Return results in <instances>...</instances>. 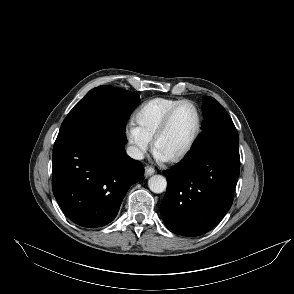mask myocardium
I'll return each mask as SVG.
<instances>
[{
  "instance_id": "1",
  "label": "myocardium",
  "mask_w": 294,
  "mask_h": 294,
  "mask_svg": "<svg viewBox=\"0 0 294 294\" xmlns=\"http://www.w3.org/2000/svg\"><path fill=\"white\" fill-rule=\"evenodd\" d=\"M185 104H190L194 107L196 115H197V123H196V127L195 130L188 142V144L184 147L183 150H181L179 153H177L176 155L170 157V158H166L165 161L169 162V163H177L181 160H183L193 149V147L195 146L198 137L201 133V128H202V122H203V118H202V113L201 110L199 108V106L192 100H188V99H183L181 101H179L177 104H175L165 115L164 119L162 120L159 128L157 129L154 137H153V149L154 152L157 153V145L159 143V141L161 140V138L164 136V134L167 132V130L170 127V124L172 122V119L175 115V113L178 111V109L185 105Z\"/></svg>"
}]
</instances>
